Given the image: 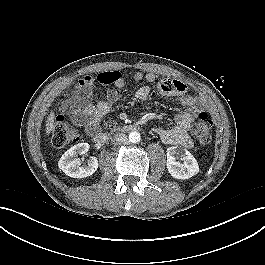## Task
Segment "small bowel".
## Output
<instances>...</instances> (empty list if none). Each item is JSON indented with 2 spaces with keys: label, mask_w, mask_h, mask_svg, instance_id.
Instances as JSON below:
<instances>
[{
  "label": "small bowel",
  "mask_w": 265,
  "mask_h": 265,
  "mask_svg": "<svg viewBox=\"0 0 265 265\" xmlns=\"http://www.w3.org/2000/svg\"><path fill=\"white\" fill-rule=\"evenodd\" d=\"M115 73L113 81L106 82L99 80L92 75H85L79 79L73 96L63 103V108L75 111V122L84 127L85 131L91 135L104 120L106 114L118 101V93L110 90L105 100L95 102L94 85L96 82L101 84L113 83L118 89L126 85V81L119 72ZM135 81L146 80L154 82L156 76L153 73L135 72ZM158 92L167 97H175L184 107V110L175 118V124L171 127H156L155 132L160 139L167 144L180 145L187 149L192 148L193 142L188 134L191 123L203 112V107L197 97L189 94L184 83L178 80L165 79L157 84ZM150 95V88L142 86L137 89L135 97L140 101H145Z\"/></svg>",
  "instance_id": "1"
}]
</instances>
